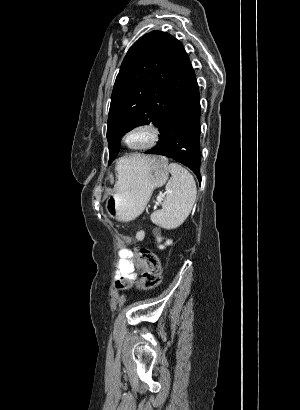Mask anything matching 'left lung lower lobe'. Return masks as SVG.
Returning <instances> with one entry per match:
<instances>
[{"label": "left lung lower lobe", "mask_w": 300, "mask_h": 410, "mask_svg": "<svg viewBox=\"0 0 300 410\" xmlns=\"http://www.w3.org/2000/svg\"><path fill=\"white\" fill-rule=\"evenodd\" d=\"M200 96L195 72L159 125L158 144L146 151L172 158L189 167L201 181L200 175Z\"/></svg>", "instance_id": "left-lung-lower-lobe-1"}]
</instances>
